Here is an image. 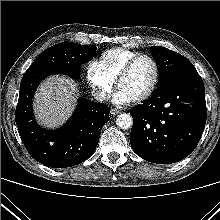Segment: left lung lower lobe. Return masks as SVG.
<instances>
[{
	"instance_id": "1",
	"label": "left lung lower lobe",
	"mask_w": 220,
	"mask_h": 220,
	"mask_svg": "<svg viewBox=\"0 0 220 220\" xmlns=\"http://www.w3.org/2000/svg\"><path fill=\"white\" fill-rule=\"evenodd\" d=\"M130 143L141 158L171 164L197 146L206 123L205 89L195 68L175 73L130 111Z\"/></svg>"
}]
</instances>
